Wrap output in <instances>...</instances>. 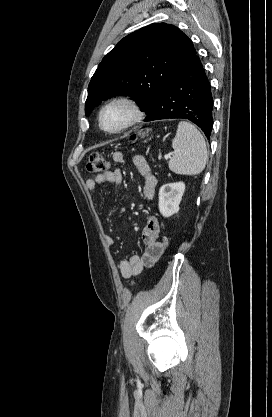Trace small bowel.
I'll return each mask as SVG.
<instances>
[{"instance_id":"small-bowel-1","label":"small bowel","mask_w":272,"mask_h":417,"mask_svg":"<svg viewBox=\"0 0 272 417\" xmlns=\"http://www.w3.org/2000/svg\"><path fill=\"white\" fill-rule=\"evenodd\" d=\"M113 159L117 163H123L125 156L122 152H115ZM132 163L136 173L143 180V196L147 199L153 198L157 186V179L153 175L146 159L142 155H135L132 158ZM121 182L122 173L119 169H115L114 171H107L90 177L86 181V187L91 193H95L97 188L102 184H121ZM160 230L161 225L159 219L156 216H151L142 231V240L146 245L144 253L140 256L131 255L120 261L117 265V269L122 277L130 278L139 275L145 268L151 267L157 262L164 251L158 241ZM105 241L109 246L115 244V239L110 235L105 236Z\"/></svg>"}]
</instances>
